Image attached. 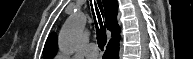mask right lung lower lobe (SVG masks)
<instances>
[{"label":"right lung lower lobe","mask_w":193,"mask_h":59,"mask_svg":"<svg viewBox=\"0 0 193 59\" xmlns=\"http://www.w3.org/2000/svg\"><path fill=\"white\" fill-rule=\"evenodd\" d=\"M118 54H119V38L109 42L103 58L118 59L119 58Z\"/></svg>","instance_id":"obj_1"}]
</instances>
